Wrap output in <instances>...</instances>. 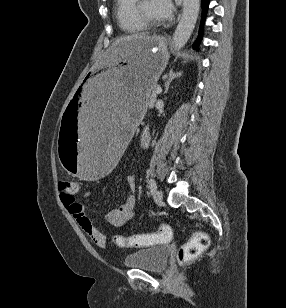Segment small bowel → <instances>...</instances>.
<instances>
[{"mask_svg":"<svg viewBox=\"0 0 286 308\" xmlns=\"http://www.w3.org/2000/svg\"><path fill=\"white\" fill-rule=\"evenodd\" d=\"M148 140L142 139V145L147 146ZM127 183L131 189L134 188L135 177L129 175L126 178ZM90 192L83 193V197H88ZM63 204L68 208L70 214L77 221L81 229L89 236V238L99 247L105 248L107 246L106 236L100 232L92 223L90 218L85 213V208L82 204L78 203L75 198L62 197ZM136 208V197L130 194L126 201L117 208L110 210L106 216L109 224L115 227H123L130 219L133 218Z\"/></svg>","mask_w":286,"mask_h":308,"instance_id":"1","label":"small bowel"}]
</instances>
